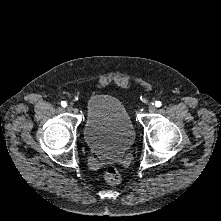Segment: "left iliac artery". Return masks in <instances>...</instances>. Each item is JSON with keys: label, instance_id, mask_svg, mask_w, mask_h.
<instances>
[{"label": "left iliac artery", "instance_id": "44dca946", "mask_svg": "<svg viewBox=\"0 0 221 221\" xmlns=\"http://www.w3.org/2000/svg\"><path fill=\"white\" fill-rule=\"evenodd\" d=\"M162 105V103L160 101H156L155 106L156 107H160Z\"/></svg>", "mask_w": 221, "mask_h": 221}]
</instances>
